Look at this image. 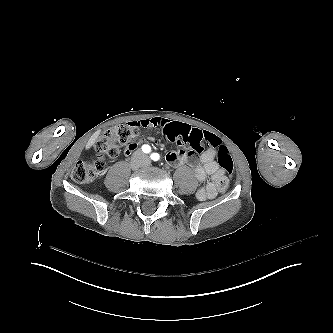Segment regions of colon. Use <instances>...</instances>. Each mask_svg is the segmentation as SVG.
Instances as JSON below:
<instances>
[{
  "instance_id": "5ec220e1",
  "label": "colon",
  "mask_w": 333,
  "mask_h": 333,
  "mask_svg": "<svg viewBox=\"0 0 333 333\" xmlns=\"http://www.w3.org/2000/svg\"><path fill=\"white\" fill-rule=\"evenodd\" d=\"M161 136L168 143H178L189 146L196 152L202 148L216 147V159L219 165L227 174L234 171V160L228 148L221 145L219 139L205 128H194L189 123L168 122L161 129ZM137 140V130L126 123L105 131L95 142L94 148L101 154L116 158L119 155V148L128 145L134 146ZM105 169L102 158L94 161H78L72 169V179L75 182H89L97 178ZM229 185V178L224 176L219 181L221 189Z\"/></svg>"
}]
</instances>
